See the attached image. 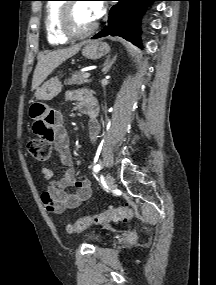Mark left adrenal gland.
Wrapping results in <instances>:
<instances>
[{
    "mask_svg": "<svg viewBox=\"0 0 216 285\" xmlns=\"http://www.w3.org/2000/svg\"><path fill=\"white\" fill-rule=\"evenodd\" d=\"M115 60H116V56L113 57L112 59H110V56L107 57V59L104 62V68H103L104 74L108 73V71L110 70L111 66L115 62Z\"/></svg>",
    "mask_w": 216,
    "mask_h": 285,
    "instance_id": "a2214340",
    "label": "left adrenal gland"
}]
</instances>
